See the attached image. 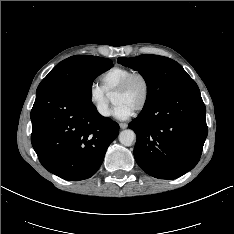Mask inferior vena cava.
Returning <instances> with one entry per match:
<instances>
[{
  "label": "inferior vena cava",
  "instance_id": "1",
  "mask_svg": "<svg viewBox=\"0 0 234 234\" xmlns=\"http://www.w3.org/2000/svg\"><path fill=\"white\" fill-rule=\"evenodd\" d=\"M99 112L104 116L109 115V112H108L107 108H101V109H99Z\"/></svg>",
  "mask_w": 234,
  "mask_h": 234
}]
</instances>
